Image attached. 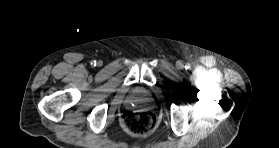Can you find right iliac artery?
Wrapping results in <instances>:
<instances>
[{
    "mask_svg": "<svg viewBox=\"0 0 279 148\" xmlns=\"http://www.w3.org/2000/svg\"><path fill=\"white\" fill-rule=\"evenodd\" d=\"M91 65H92V66H96V61L93 60V61L91 62Z\"/></svg>",
    "mask_w": 279,
    "mask_h": 148,
    "instance_id": "obj_1",
    "label": "right iliac artery"
}]
</instances>
